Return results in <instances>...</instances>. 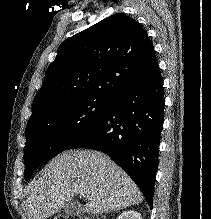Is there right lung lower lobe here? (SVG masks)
Here are the masks:
<instances>
[{
	"label": "right lung lower lobe",
	"mask_w": 211,
	"mask_h": 219,
	"mask_svg": "<svg viewBox=\"0 0 211 219\" xmlns=\"http://www.w3.org/2000/svg\"><path fill=\"white\" fill-rule=\"evenodd\" d=\"M164 106L157 66L147 79L111 100L102 118L67 150L87 148L109 155L138 185L152 209Z\"/></svg>",
	"instance_id": "obj_1"
}]
</instances>
